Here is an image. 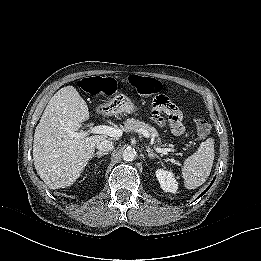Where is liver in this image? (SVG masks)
Listing matches in <instances>:
<instances>
[{
    "label": "liver",
    "mask_w": 261,
    "mask_h": 261,
    "mask_svg": "<svg viewBox=\"0 0 261 261\" xmlns=\"http://www.w3.org/2000/svg\"><path fill=\"white\" fill-rule=\"evenodd\" d=\"M86 102L73 86L58 90L47 104L34 133L33 160L40 178L50 187L72 185L106 135L75 138L89 119Z\"/></svg>",
    "instance_id": "obj_1"
}]
</instances>
